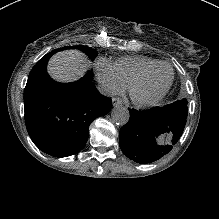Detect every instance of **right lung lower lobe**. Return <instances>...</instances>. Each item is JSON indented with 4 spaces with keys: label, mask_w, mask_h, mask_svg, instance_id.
<instances>
[{
    "label": "right lung lower lobe",
    "mask_w": 219,
    "mask_h": 219,
    "mask_svg": "<svg viewBox=\"0 0 219 219\" xmlns=\"http://www.w3.org/2000/svg\"><path fill=\"white\" fill-rule=\"evenodd\" d=\"M51 55L34 66L24 90L25 123L35 145L57 157L78 152L92 121L107 114L111 100L92 85L91 72L74 83H57L46 72Z\"/></svg>",
    "instance_id": "right-lung-lower-lobe-1"
}]
</instances>
